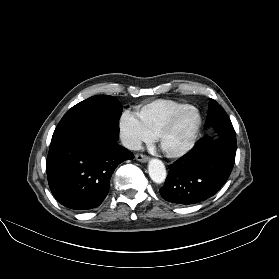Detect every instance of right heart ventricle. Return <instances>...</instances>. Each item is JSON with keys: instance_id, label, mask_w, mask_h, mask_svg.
Instances as JSON below:
<instances>
[{"instance_id": "1", "label": "right heart ventricle", "mask_w": 279, "mask_h": 279, "mask_svg": "<svg viewBox=\"0 0 279 279\" xmlns=\"http://www.w3.org/2000/svg\"><path fill=\"white\" fill-rule=\"evenodd\" d=\"M188 105L171 99H156L136 106V115L146 131L154 137L175 111Z\"/></svg>"}]
</instances>
